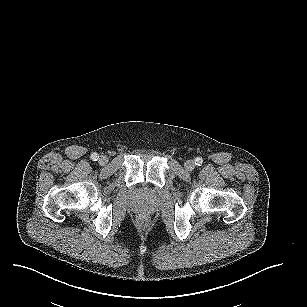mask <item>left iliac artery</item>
<instances>
[{
	"label": "left iliac artery",
	"mask_w": 307,
	"mask_h": 307,
	"mask_svg": "<svg viewBox=\"0 0 307 307\" xmlns=\"http://www.w3.org/2000/svg\"><path fill=\"white\" fill-rule=\"evenodd\" d=\"M202 163H203V160H202L201 157H197V158L195 159V164H196L197 166H201Z\"/></svg>",
	"instance_id": "44dca946"
}]
</instances>
